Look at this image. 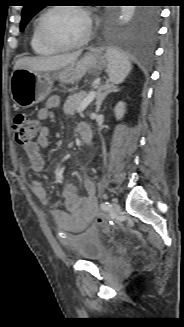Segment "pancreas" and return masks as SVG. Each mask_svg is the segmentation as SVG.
Listing matches in <instances>:
<instances>
[{"label":"pancreas","instance_id":"cf45deb5","mask_svg":"<svg viewBox=\"0 0 184 327\" xmlns=\"http://www.w3.org/2000/svg\"><path fill=\"white\" fill-rule=\"evenodd\" d=\"M88 96L85 91H80L78 93H73L70 95L64 103L63 111L66 115H73L80 107L83 100Z\"/></svg>","mask_w":184,"mask_h":327}]
</instances>
